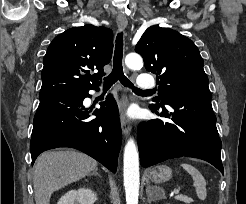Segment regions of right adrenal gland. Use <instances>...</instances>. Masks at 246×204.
<instances>
[{"instance_id":"1","label":"right adrenal gland","mask_w":246,"mask_h":204,"mask_svg":"<svg viewBox=\"0 0 246 204\" xmlns=\"http://www.w3.org/2000/svg\"><path fill=\"white\" fill-rule=\"evenodd\" d=\"M90 175H98L99 177H101L100 173H98V169L97 168H95L93 170V173H91Z\"/></svg>"}]
</instances>
